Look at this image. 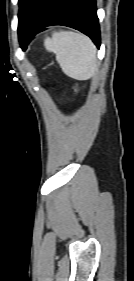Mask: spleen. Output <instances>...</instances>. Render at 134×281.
<instances>
[{"instance_id": "obj_1", "label": "spleen", "mask_w": 134, "mask_h": 281, "mask_svg": "<svg viewBox=\"0 0 134 281\" xmlns=\"http://www.w3.org/2000/svg\"><path fill=\"white\" fill-rule=\"evenodd\" d=\"M47 51L56 55L62 71L76 80L90 79L96 70V47L85 35L72 31L54 33L44 41Z\"/></svg>"}]
</instances>
